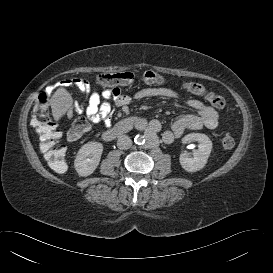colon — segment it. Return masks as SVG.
<instances>
[{"label": "colon", "mask_w": 273, "mask_h": 273, "mask_svg": "<svg viewBox=\"0 0 273 273\" xmlns=\"http://www.w3.org/2000/svg\"><path fill=\"white\" fill-rule=\"evenodd\" d=\"M99 85L105 87H117L121 85H129L135 81L145 84H160L164 78L161 74L153 70H145L136 72H118V73H102L96 78ZM190 89L197 94H202L210 102V104L222 109L225 107V99L221 95L214 92H208L204 86L199 83L191 82ZM51 93L48 91L40 92L35 104L31 125L36 130L40 138V146L45 160L49 166L57 173H64L67 169L65 157V146L61 143V132L58 125L49 116V101ZM91 128V124L86 117H78L68 131L69 140H77L83 134L87 133ZM235 140L231 135H225L222 138V146L225 149H232Z\"/></svg>", "instance_id": "colon-1"}]
</instances>
